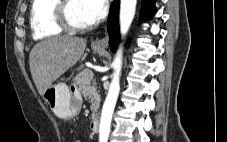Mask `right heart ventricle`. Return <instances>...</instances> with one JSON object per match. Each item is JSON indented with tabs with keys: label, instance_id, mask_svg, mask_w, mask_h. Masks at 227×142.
Masks as SVG:
<instances>
[{
	"label": "right heart ventricle",
	"instance_id": "e07e8e85",
	"mask_svg": "<svg viewBox=\"0 0 227 142\" xmlns=\"http://www.w3.org/2000/svg\"><path fill=\"white\" fill-rule=\"evenodd\" d=\"M59 0H33L30 11V26L34 39L42 40L64 33L55 22L54 10Z\"/></svg>",
	"mask_w": 227,
	"mask_h": 142
}]
</instances>
